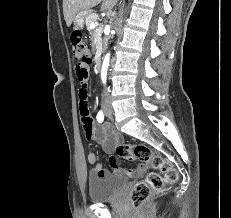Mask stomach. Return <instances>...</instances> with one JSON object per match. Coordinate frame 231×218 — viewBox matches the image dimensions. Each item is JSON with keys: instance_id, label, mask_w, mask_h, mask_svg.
I'll return each instance as SVG.
<instances>
[{"instance_id": "0dacf381", "label": "stomach", "mask_w": 231, "mask_h": 218, "mask_svg": "<svg viewBox=\"0 0 231 218\" xmlns=\"http://www.w3.org/2000/svg\"><path fill=\"white\" fill-rule=\"evenodd\" d=\"M90 13V11H80L78 12L74 19H73V22H74V26L78 29H82L83 26H84V18L86 17V15Z\"/></svg>"}]
</instances>
